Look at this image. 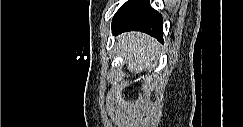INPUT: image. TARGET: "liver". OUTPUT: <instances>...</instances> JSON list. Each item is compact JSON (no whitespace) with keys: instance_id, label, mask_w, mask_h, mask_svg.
I'll return each instance as SVG.
<instances>
[{"instance_id":"1","label":"liver","mask_w":243,"mask_h":127,"mask_svg":"<svg viewBox=\"0 0 243 127\" xmlns=\"http://www.w3.org/2000/svg\"><path fill=\"white\" fill-rule=\"evenodd\" d=\"M118 44L130 72L140 74L155 65L159 46L154 38L140 32H128L119 36Z\"/></svg>"}]
</instances>
